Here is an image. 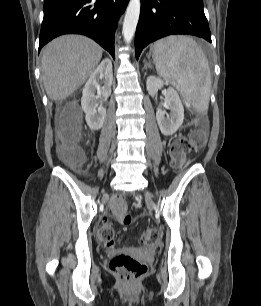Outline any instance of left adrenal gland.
Wrapping results in <instances>:
<instances>
[{
    "label": "left adrenal gland",
    "instance_id": "a2214340",
    "mask_svg": "<svg viewBox=\"0 0 261 306\" xmlns=\"http://www.w3.org/2000/svg\"><path fill=\"white\" fill-rule=\"evenodd\" d=\"M148 67L151 68V65H150V63H148V62L146 61L145 64H144V68L147 69Z\"/></svg>",
    "mask_w": 261,
    "mask_h": 306
}]
</instances>
